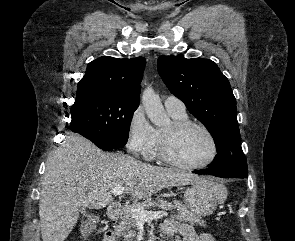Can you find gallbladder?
I'll return each mask as SVG.
<instances>
[{"mask_svg": "<svg viewBox=\"0 0 295 241\" xmlns=\"http://www.w3.org/2000/svg\"><path fill=\"white\" fill-rule=\"evenodd\" d=\"M84 212H85V208H81L80 213H84Z\"/></svg>", "mask_w": 295, "mask_h": 241, "instance_id": "obj_1", "label": "gallbladder"}]
</instances>
